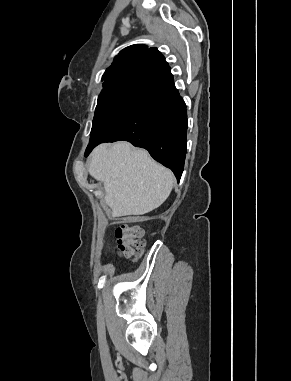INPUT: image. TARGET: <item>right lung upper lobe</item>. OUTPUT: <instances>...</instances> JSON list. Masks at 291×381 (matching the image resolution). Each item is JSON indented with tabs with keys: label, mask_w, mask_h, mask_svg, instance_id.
I'll list each match as a JSON object with an SVG mask.
<instances>
[{
	"label": "right lung upper lobe",
	"mask_w": 291,
	"mask_h": 381,
	"mask_svg": "<svg viewBox=\"0 0 291 381\" xmlns=\"http://www.w3.org/2000/svg\"><path fill=\"white\" fill-rule=\"evenodd\" d=\"M168 66L163 55L156 48L136 44L129 46L115 57L105 71L103 89L110 88L132 77H144Z\"/></svg>",
	"instance_id": "obj_1"
}]
</instances>
